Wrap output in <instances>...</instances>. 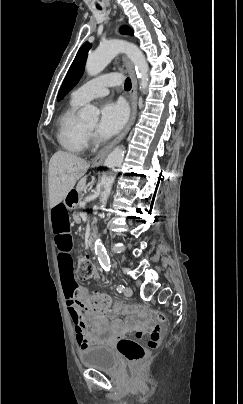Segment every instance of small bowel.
<instances>
[{"label": "small bowel", "mask_w": 243, "mask_h": 404, "mask_svg": "<svg viewBox=\"0 0 243 404\" xmlns=\"http://www.w3.org/2000/svg\"><path fill=\"white\" fill-rule=\"evenodd\" d=\"M61 283L67 301L68 312L74 324L77 344L80 348L92 345H113L124 336L126 326L107 317L86 316L78 308L80 288L73 271L72 240L68 208L63 201L55 204L50 214Z\"/></svg>", "instance_id": "small-bowel-1"}]
</instances>
